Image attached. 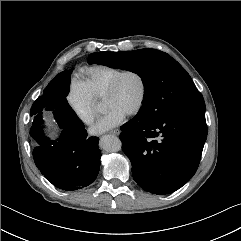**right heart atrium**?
Segmentation results:
<instances>
[{
	"mask_svg": "<svg viewBox=\"0 0 241 241\" xmlns=\"http://www.w3.org/2000/svg\"><path fill=\"white\" fill-rule=\"evenodd\" d=\"M71 111L85 125H91L97 118L95 100L80 80H73L66 95Z\"/></svg>",
	"mask_w": 241,
	"mask_h": 241,
	"instance_id": "right-heart-atrium-1",
	"label": "right heart atrium"
}]
</instances>
